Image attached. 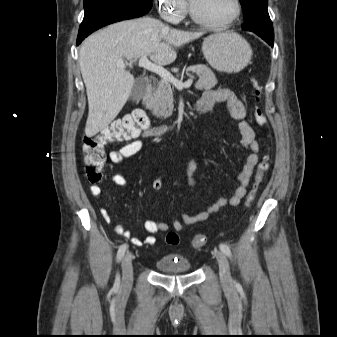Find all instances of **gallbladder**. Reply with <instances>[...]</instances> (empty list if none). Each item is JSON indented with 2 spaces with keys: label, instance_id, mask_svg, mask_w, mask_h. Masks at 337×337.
Segmentation results:
<instances>
[{
  "label": "gallbladder",
  "instance_id": "gallbladder-1",
  "mask_svg": "<svg viewBox=\"0 0 337 337\" xmlns=\"http://www.w3.org/2000/svg\"><path fill=\"white\" fill-rule=\"evenodd\" d=\"M145 82L142 79H137L131 91V97L134 100H138L145 92Z\"/></svg>",
  "mask_w": 337,
  "mask_h": 337
}]
</instances>
